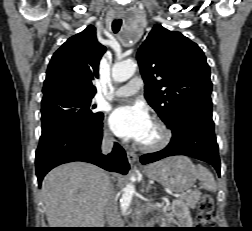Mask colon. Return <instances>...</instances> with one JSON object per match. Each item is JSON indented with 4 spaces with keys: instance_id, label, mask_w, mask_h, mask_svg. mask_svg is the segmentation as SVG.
I'll return each instance as SVG.
<instances>
[{
    "instance_id": "colon-1",
    "label": "colon",
    "mask_w": 252,
    "mask_h": 231,
    "mask_svg": "<svg viewBox=\"0 0 252 231\" xmlns=\"http://www.w3.org/2000/svg\"><path fill=\"white\" fill-rule=\"evenodd\" d=\"M198 220L201 224H208L211 221L214 200L209 193H203L198 202Z\"/></svg>"
}]
</instances>
